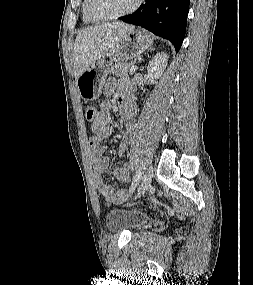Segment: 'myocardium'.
<instances>
[{
  "instance_id": "myocardium-1",
  "label": "myocardium",
  "mask_w": 253,
  "mask_h": 285,
  "mask_svg": "<svg viewBox=\"0 0 253 285\" xmlns=\"http://www.w3.org/2000/svg\"><path fill=\"white\" fill-rule=\"evenodd\" d=\"M142 1L143 0H135L133 5L129 7L127 10L117 13V14H113V15H101L97 13L93 7V2H94L93 0H86V5H87V11L92 18H94L97 21H110V20H116L124 16H127L129 14H132L139 8Z\"/></svg>"
}]
</instances>
